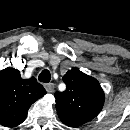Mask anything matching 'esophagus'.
<instances>
[{
  "instance_id": "34e87169",
  "label": "esophagus",
  "mask_w": 130,
  "mask_h": 130,
  "mask_svg": "<svg viewBox=\"0 0 130 130\" xmlns=\"http://www.w3.org/2000/svg\"><path fill=\"white\" fill-rule=\"evenodd\" d=\"M44 87L46 89L47 92L51 93L54 90V84L53 83H47L44 84Z\"/></svg>"
}]
</instances>
